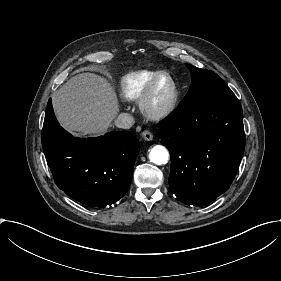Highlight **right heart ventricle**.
<instances>
[{"mask_svg": "<svg viewBox=\"0 0 281 281\" xmlns=\"http://www.w3.org/2000/svg\"><path fill=\"white\" fill-rule=\"evenodd\" d=\"M163 71H137L123 76L118 84L120 98L125 101L137 100L148 84Z\"/></svg>", "mask_w": 281, "mask_h": 281, "instance_id": "right-heart-ventricle-1", "label": "right heart ventricle"}]
</instances>
